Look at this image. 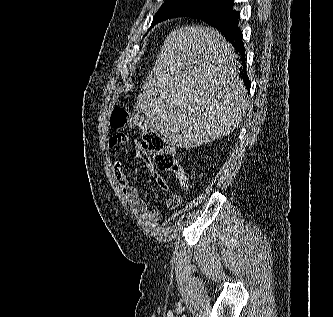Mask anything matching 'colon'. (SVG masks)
Segmentation results:
<instances>
[{
    "label": "colon",
    "instance_id": "5ec220e1",
    "mask_svg": "<svg viewBox=\"0 0 333 317\" xmlns=\"http://www.w3.org/2000/svg\"><path fill=\"white\" fill-rule=\"evenodd\" d=\"M110 125L115 130L140 129L142 147L152 156L155 165L160 170L172 172L183 187L189 185L187 173L177 161L174 148L161 134L151 129L140 116L125 108L117 107L111 113Z\"/></svg>",
    "mask_w": 333,
    "mask_h": 317
}]
</instances>
